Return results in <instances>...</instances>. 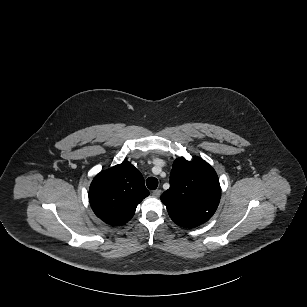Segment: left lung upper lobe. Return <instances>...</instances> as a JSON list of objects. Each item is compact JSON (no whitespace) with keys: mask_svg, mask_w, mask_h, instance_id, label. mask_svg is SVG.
<instances>
[{"mask_svg":"<svg viewBox=\"0 0 307 307\" xmlns=\"http://www.w3.org/2000/svg\"><path fill=\"white\" fill-rule=\"evenodd\" d=\"M221 196L219 179L204 160L177 158L170 174V188L161 201L171 219L182 227H195L208 221L215 213Z\"/></svg>","mask_w":307,"mask_h":307,"instance_id":"1","label":"left lung upper lobe"}]
</instances>
